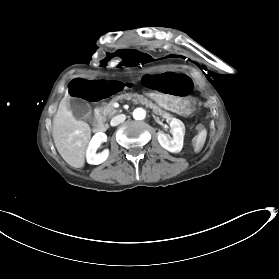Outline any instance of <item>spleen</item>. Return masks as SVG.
<instances>
[{
  "label": "spleen",
  "instance_id": "3e777b00",
  "mask_svg": "<svg viewBox=\"0 0 279 279\" xmlns=\"http://www.w3.org/2000/svg\"><path fill=\"white\" fill-rule=\"evenodd\" d=\"M205 140V130H199L198 135H196V141H194V149L195 151H200Z\"/></svg>",
  "mask_w": 279,
  "mask_h": 279
}]
</instances>
